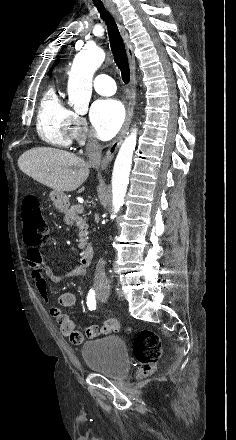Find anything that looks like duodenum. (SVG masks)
<instances>
[{
    "instance_id": "duodenum-1",
    "label": "duodenum",
    "mask_w": 236,
    "mask_h": 440,
    "mask_svg": "<svg viewBox=\"0 0 236 440\" xmlns=\"http://www.w3.org/2000/svg\"><path fill=\"white\" fill-rule=\"evenodd\" d=\"M92 258L93 248L91 246H86L81 256V265L83 267H88L92 261Z\"/></svg>"
}]
</instances>
